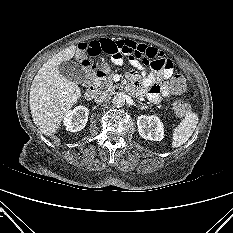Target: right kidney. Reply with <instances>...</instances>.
Wrapping results in <instances>:
<instances>
[{"instance_id": "right-kidney-1", "label": "right kidney", "mask_w": 233, "mask_h": 233, "mask_svg": "<svg viewBox=\"0 0 233 233\" xmlns=\"http://www.w3.org/2000/svg\"><path fill=\"white\" fill-rule=\"evenodd\" d=\"M89 116V110L85 106H77L72 111H69L64 117L63 123L66 130L70 132H77L82 130Z\"/></svg>"}]
</instances>
